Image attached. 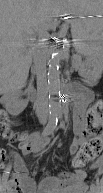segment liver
Here are the masks:
<instances>
[{
  "instance_id": "liver-1",
  "label": "liver",
  "mask_w": 103,
  "mask_h": 193,
  "mask_svg": "<svg viewBox=\"0 0 103 193\" xmlns=\"http://www.w3.org/2000/svg\"><path fill=\"white\" fill-rule=\"evenodd\" d=\"M80 4V0H1L2 71L8 82L18 83L28 72L25 37L41 32L53 17L72 13Z\"/></svg>"
}]
</instances>
